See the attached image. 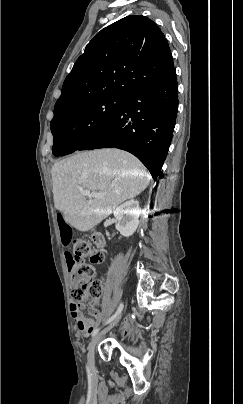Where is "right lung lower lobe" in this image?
<instances>
[{
	"instance_id": "98d812e1",
	"label": "right lung lower lobe",
	"mask_w": 243,
	"mask_h": 404,
	"mask_svg": "<svg viewBox=\"0 0 243 404\" xmlns=\"http://www.w3.org/2000/svg\"><path fill=\"white\" fill-rule=\"evenodd\" d=\"M177 111L178 87L173 68L163 78L128 95L114 117L78 150H126L140 159L153 179L161 178Z\"/></svg>"
}]
</instances>
